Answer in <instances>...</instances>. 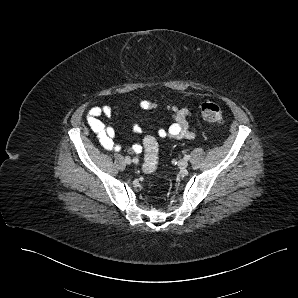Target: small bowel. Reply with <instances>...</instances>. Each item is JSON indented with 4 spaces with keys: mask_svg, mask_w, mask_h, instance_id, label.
Instances as JSON below:
<instances>
[{
    "mask_svg": "<svg viewBox=\"0 0 298 298\" xmlns=\"http://www.w3.org/2000/svg\"><path fill=\"white\" fill-rule=\"evenodd\" d=\"M142 110H150L155 108V104L149 100H141L138 104ZM172 112L173 123L168 127H161L157 130L159 138H171V139H182V138H193L195 136V130L190 126L188 119L191 113L186 108H177L175 106H168ZM113 110L108 105L94 106L92 107L86 116V122L89 128L97 135L101 146L107 151H120L121 145L114 141L115 130L112 127L106 126L101 120V116L110 117ZM132 131L136 134L142 132V128L139 124L135 123L132 126ZM132 153H140L142 146L138 143L133 144L130 147Z\"/></svg>",
    "mask_w": 298,
    "mask_h": 298,
    "instance_id": "1",
    "label": "small bowel"
}]
</instances>
